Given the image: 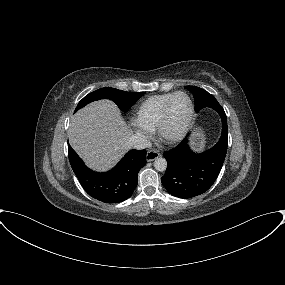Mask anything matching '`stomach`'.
<instances>
[{
  "label": "stomach",
  "instance_id": "0dacf381",
  "mask_svg": "<svg viewBox=\"0 0 285 285\" xmlns=\"http://www.w3.org/2000/svg\"><path fill=\"white\" fill-rule=\"evenodd\" d=\"M205 144V137L201 129L196 128L193 133V146L196 149H202Z\"/></svg>",
  "mask_w": 285,
  "mask_h": 285
}]
</instances>
